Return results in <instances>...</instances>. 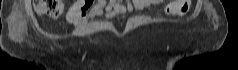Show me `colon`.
<instances>
[{
  "instance_id": "obj_1",
  "label": "colon",
  "mask_w": 238,
  "mask_h": 70,
  "mask_svg": "<svg viewBox=\"0 0 238 70\" xmlns=\"http://www.w3.org/2000/svg\"><path fill=\"white\" fill-rule=\"evenodd\" d=\"M176 1L177 3H179V7L176 10L175 14H184L189 8L190 0ZM34 7L35 11L39 15H46L50 18L55 19L63 12L64 4L62 0H35Z\"/></svg>"
}]
</instances>
